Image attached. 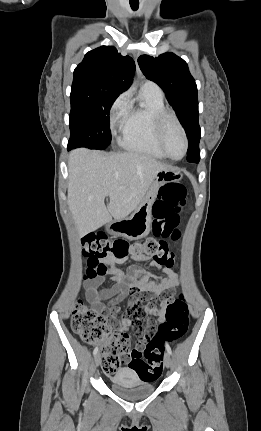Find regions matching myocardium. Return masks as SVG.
Returning a JSON list of instances; mask_svg holds the SVG:
<instances>
[{"instance_id": "obj_1", "label": "myocardium", "mask_w": 261, "mask_h": 431, "mask_svg": "<svg viewBox=\"0 0 261 431\" xmlns=\"http://www.w3.org/2000/svg\"><path fill=\"white\" fill-rule=\"evenodd\" d=\"M169 123H173L176 125V127L181 132V135H182L183 140H184V151H183V154L178 158L172 157L167 152L165 144H164V133H165L166 127L168 126ZM154 124H155L156 141H157L159 148L164 153V155L167 158L174 160V161H178V160H181L182 158H184L185 155L187 154V151H188L189 141H188L186 131H185L183 125L181 124V122L179 121L178 117L173 112L165 110V111L159 112L155 115Z\"/></svg>"}]
</instances>
